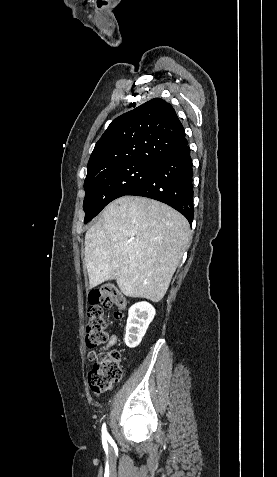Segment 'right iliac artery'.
I'll return each mask as SVG.
<instances>
[{
    "label": "right iliac artery",
    "mask_w": 277,
    "mask_h": 477,
    "mask_svg": "<svg viewBox=\"0 0 277 477\" xmlns=\"http://www.w3.org/2000/svg\"><path fill=\"white\" fill-rule=\"evenodd\" d=\"M102 437L103 438H108V433H107L105 424H103V426H102Z\"/></svg>",
    "instance_id": "1"
}]
</instances>
